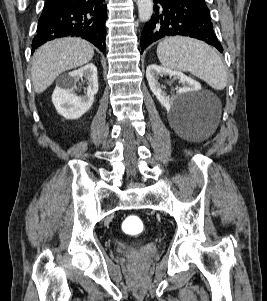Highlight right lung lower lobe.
Listing matches in <instances>:
<instances>
[{
    "instance_id": "obj_1",
    "label": "right lung lower lobe",
    "mask_w": 267,
    "mask_h": 301,
    "mask_svg": "<svg viewBox=\"0 0 267 301\" xmlns=\"http://www.w3.org/2000/svg\"><path fill=\"white\" fill-rule=\"evenodd\" d=\"M107 19L105 0H50L39 18L32 53L38 46L58 37L77 36L103 53Z\"/></svg>"
}]
</instances>
